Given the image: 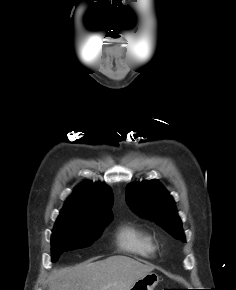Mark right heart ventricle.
Wrapping results in <instances>:
<instances>
[{"label": "right heart ventricle", "mask_w": 236, "mask_h": 290, "mask_svg": "<svg viewBox=\"0 0 236 290\" xmlns=\"http://www.w3.org/2000/svg\"><path fill=\"white\" fill-rule=\"evenodd\" d=\"M116 243L121 250L145 258L153 257L157 251L154 237L143 228L129 222L118 227Z\"/></svg>", "instance_id": "1"}]
</instances>
